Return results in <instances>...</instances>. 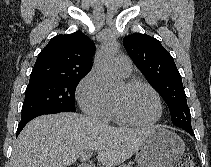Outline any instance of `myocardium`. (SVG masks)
<instances>
[{
    "label": "myocardium",
    "mask_w": 211,
    "mask_h": 167,
    "mask_svg": "<svg viewBox=\"0 0 211 167\" xmlns=\"http://www.w3.org/2000/svg\"><path fill=\"white\" fill-rule=\"evenodd\" d=\"M125 85L131 89L143 87V88L150 90L156 98V101L158 104V114L153 120H151L149 122H139V121H136V120L130 118L129 116H127L119 108V106L114 101V99H112V107H113V112H114L115 116L118 118V120L121 123L130 125V126L150 127V126L155 125L161 119V117L163 115V104H162V100H161V97H160V94L158 93V91L152 85H150L146 82L140 81V80H135V79L126 81Z\"/></svg>",
    "instance_id": "f54148a6"
}]
</instances>
